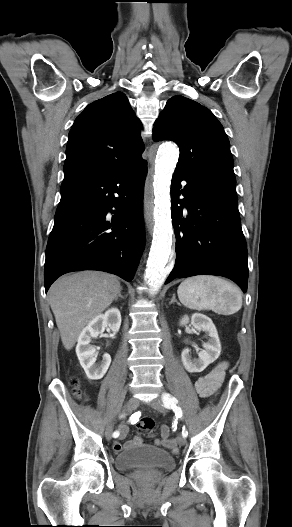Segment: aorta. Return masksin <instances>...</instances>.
Wrapping results in <instances>:
<instances>
[{
	"instance_id": "obj_1",
	"label": "aorta",
	"mask_w": 292,
	"mask_h": 527,
	"mask_svg": "<svg viewBox=\"0 0 292 527\" xmlns=\"http://www.w3.org/2000/svg\"><path fill=\"white\" fill-rule=\"evenodd\" d=\"M178 158L177 146L164 144L159 148L155 161L153 178L155 226L146 269V278L151 287V294L160 289L172 269L171 265L168 264L173 235L170 185Z\"/></svg>"
}]
</instances>
